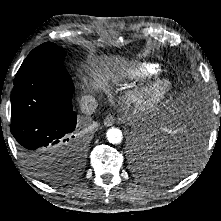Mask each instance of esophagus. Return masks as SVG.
Listing matches in <instances>:
<instances>
[{"instance_id":"1","label":"esophagus","mask_w":221,"mask_h":221,"mask_svg":"<svg viewBox=\"0 0 221 221\" xmlns=\"http://www.w3.org/2000/svg\"><path fill=\"white\" fill-rule=\"evenodd\" d=\"M115 123V117L113 115H107L104 119L105 126H112Z\"/></svg>"}]
</instances>
